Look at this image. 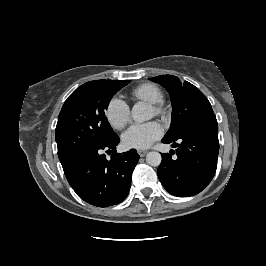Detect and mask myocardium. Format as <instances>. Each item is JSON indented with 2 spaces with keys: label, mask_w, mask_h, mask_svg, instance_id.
I'll return each mask as SVG.
<instances>
[{
  "label": "myocardium",
  "mask_w": 266,
  "mask_h": 266,
  "mask_svg": "<svg viewBox=\"0 0 266 266\" xmlns=\"http://www.w3.org/2000/svg\"><path fill=\"white\" fill-rule=\"evenodd\" d=\"M151 107L155 115L165 117L168 114V108L163 101L152 103Z\"/></svg>",
  "instance_id": "obj_1"
}]
</instances>
